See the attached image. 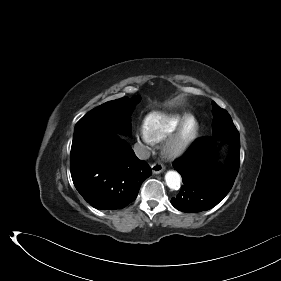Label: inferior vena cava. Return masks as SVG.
I'll list each match as a JSON object with an SVG mask.
<instances>
[{
	"label": "inferior vena cava",
	"instance_id": "obj_1",
	"mask_svg": "<svg viewBox=\"0 0 281 281\" xmlns=\"http://www.w3.org/2000/svg\"><path fill=\"white\" fill-rule=\"evenodd\" d=\"M136 156L141 160H147L150 157V150L143 144L136 143L133 148Z\"/></svg>",
	"mask_w": 281,
	"mask_h": 281
}]
</instances>
